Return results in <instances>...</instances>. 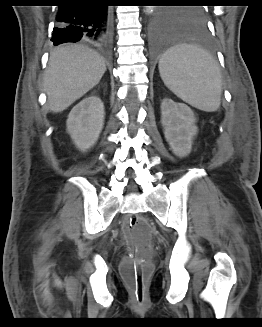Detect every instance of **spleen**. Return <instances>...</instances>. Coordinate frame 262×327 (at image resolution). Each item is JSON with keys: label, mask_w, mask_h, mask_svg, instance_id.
I'll return each mask as SVG.
<instances>
[{"label": "spleen", "mask_w": 262, "mask_h": 327, "mask_svg": "<svg viewBox=\"0 0 262 327\" xmlns=\"http://www.w3.org/2000/svg\"><path fill=\"white\" fill-rule=\"evenodd\" d=\"M158 67L164 84L183 101L207 112L220 107V69L203 49L177 45L162 55Z\"/></svg>", "instance_id": "3e777b00"}]
</instances>
